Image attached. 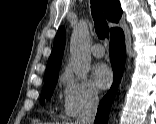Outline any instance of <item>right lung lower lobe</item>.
I'll use <instances>...</instances> for the list:
<instances>
[{
	"instance_id": "1",
	"label": "right lung lower lobe",
	"mask_w": 156,
	"mask_h": 124,
	"mask_svg": "<svg viewBox=\"0 0 156 124\" xmlns=\"http://www.w3.org/2000/svg\"><path fill=\"white\" fill-rule=\"evenodd\" d=\"M110 59L114 72V81L110 91L99 103L95 124H107L108 114L116 94V90L123 74L125 65V42L124 35L121 29H117L110 35Z\"/></svg>"
}]
</instances>
